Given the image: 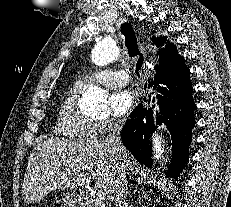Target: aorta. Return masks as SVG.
<instances>
[{"label":"aorta","instance_id":"obj_1","mask_svg":"<svg viewBox=\"0 0 231 207\" xmlns=\"http://www.w3.org/2000/svg\"><path fill=\"white\" fill-rule=\"evenodd\" d=\"M119 47L111 38H104L98 41L91 53V60L97 66H105L117 59ZM108 93L106 90L91 86L82 96L81 105L90 111L105 112L107 106ZM153 159L159 160L163 156L164 149L160 136L153 135Z\"/></svg>","mask_w":231,"mask_h":207}]
</instances>
